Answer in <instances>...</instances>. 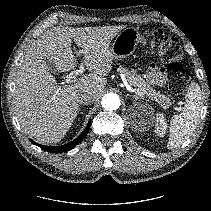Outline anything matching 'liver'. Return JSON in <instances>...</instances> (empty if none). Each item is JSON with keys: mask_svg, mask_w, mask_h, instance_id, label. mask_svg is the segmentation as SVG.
<instances>
[{"mask_svg": "<svg viewBox=\"0 0 211 211\" xmlns=\"http://www.w3.org/2000/svg\"><path fill=\"white\" fill-rule=\"evenodd\" d=\"M123 28L61 26L36 39L17 72L13 95L15 115L26 134L43 143L62 140L80 111L79 95L92 93L95 101L107 85L106 76L114 60L110 42ZM72 40L81 48L83 63L91 73L57 86L46 60L52 61L59 72L74 69L78 61L72 52Z\"/></svg>", "mask_w": 211, "mask_h": 211, "instance_id": "6515ba94", "label": "liver"}]
</instances>
